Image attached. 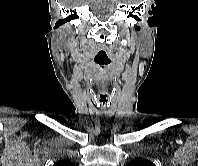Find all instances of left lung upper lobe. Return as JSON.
<instances>
[{
	"label": "left lung upper lobe",
	"mask_w": 198,
	"mask_h": 166,
	"mask_svg": "<svg viewBox=\"0 0 198 166\" xmlns=\"http://www.w3.org/2000/svg\"><path fill=\"white\" fill-rule=\"evenodd\" d=\"M126 166H155L153 163L142 158L133 159Z\"/></svg>",
	"instance_id": "1"
}]
</instances>
